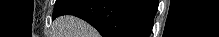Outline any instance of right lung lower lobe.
<instances>
[{
	"label": "right lung lower lobe",
	"mask_w": 219,
	"mask_h": 37,
	"mask_svg": "<svg viewBox=\"0 0 219 37\" xmlns=\"http://www.w3.org/2000/svg\"><path fill=\"white\" fill-rule=\"evenodd\" d=\"M157 7V0H72L55 17L82 18L103 37H148Z\"/></svg>",
	"instance_id": "right-lung-lower-lobe-1"
}]
</instances>
